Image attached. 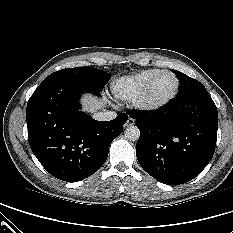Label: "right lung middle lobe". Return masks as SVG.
<instances>
[{
    "label": "right lung middle lobe",
    "instance_id": "dd1d6c3e",
    "mask_svg": "<svg viewBox=\"0 0 233 233\" xmlns=\"http://www.w3.org/2000/svg\"><path fill=\"white\" fill-rule=\"evenodd\" d=\"M110 78L111 74L88 66L62 69L50 74L47 78H45L36 90H40L59 81L73 80L86 84L98 91H102L103 87L107 84Z\"/></svg>",
    "mask_w": 233,
    "mask_h": 233
}]
</instances>
